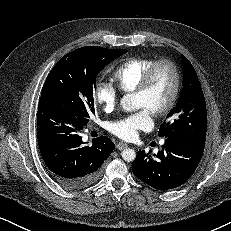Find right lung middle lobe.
<instances>
[{"instance_id":"right-lung-middle-lobe-1","label":"right lung middle lobe","mask_w":231,"mask_h":231,"mask_svg":"<svg viewBox=\"0 0 231 231\" xmlns=\"http://www.w3.org/2000/svg\"><path fill=\"white\" fill-rule=\"evenodd\" d=\"M126 52L87 46L66 54L47 76L40 99L59 102L86 126L95 113L94 91L99 72Z\"/></svg>"}]
</instances>
